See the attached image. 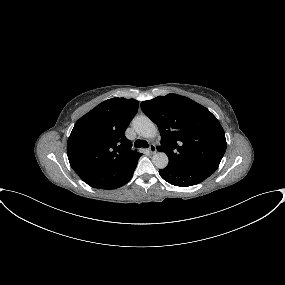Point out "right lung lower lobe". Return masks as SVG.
<instances>
[{
	"label": "right lung lower lobe",
	"mask_w": 285,
	"mask_h": 285,
	"mask_svg": "<svg viewBox=\"0 0 285 285\" xmlns=\"http://www.w3.org/2000/svg\"><path fill=\"white\" fill-rule=\"evenodd\" d=\"M128 181H129V180H128ZM128 181H127V182H128ZM127 182H126V183H127ZM124 184H125V183H124ZM124 184H123V185H124ZM121 186H122V185H121ZM121 186H119V187H121ZM116 188H118V187H116ZM114 189H115V188H114Z\"/></svg>",
	"instance_id": "right-lung-lower-lobe-1"
}]
</instances>
